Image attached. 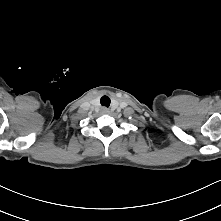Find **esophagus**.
Returning <instances> with one entry per match:
<instances>
[{
	"label": "esophagus",
	"mask_w": 221,
	"mask_h": 221,
	"mask_svg": "<svg viewBox=\"0 0 221 221\" xmlns=\"http://www.w3.org/2000/svg\"><path fill=\"white\" fill-rule=\"evenodd\" d=\"M102 112L107 114V113H109V109L104 107V108H102Z\"/></svg>",
	"instance_id": "obj_1"
}]
</instances>
